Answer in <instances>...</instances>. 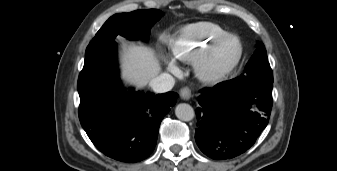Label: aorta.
<instances>
[{
	"mask_svg": "<svg viewBox=\"0 0 337 171\" xmlns=\"http://www.w3.org/2000/svg\"><path fill=\"white\" fill-rule=\"evenodd\" d=\"M175 115L182 121H191L194 118V109L186 103H181L176 106Z\"/></svg>",
	"mask_w": 337,
	"mask_h": 171,
	"instance_id": "obj_1",
	"label": "aorta"
}]
</instances>
